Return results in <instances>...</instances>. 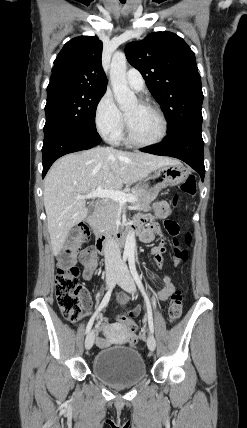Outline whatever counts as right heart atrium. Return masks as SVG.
<instances>
[{
    "mask_svg": "<svg viewBox=\"0 0 247 428\" xmlns=\"http://www.w3.org/2000/svg\"><path fill=\"white\" fill-rule=\"evenodd\" d=\"M97 131L110 142L118 141L124 131V118L110 92L99 99L94 114Z\"/></svg>",
    "mask_w": 247,
    "mask_h": 428,
    "instance_id": "obj_1",
    "label": "right heart atrium"
}]
</instances>
